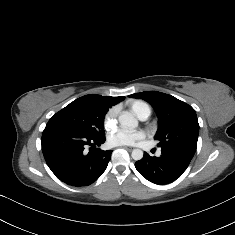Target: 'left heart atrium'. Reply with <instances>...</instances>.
I'll list each match as a JSON object with an SVG mask.
<instances>
[{"label":"left heart atrium","mask_w":235,"mask_h":235,"mask_svg":"<svg viewBox=\"0 0 235 235\" xmlns=\"http://www.w3.org/2000/svg\"><path fill=\"white\" fill-rule=\"evenodd\" d=\"M144 136L145 134L141 130L130 131L118 129L108 135L107 141L111 146H126L134 144L143 139Z\"/></svg>","instance_id":"1"}]
</instances>
